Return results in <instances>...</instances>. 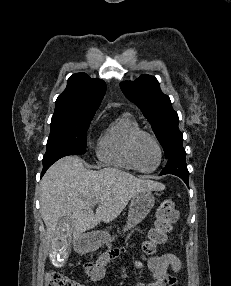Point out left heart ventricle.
Returning <instances> with one entry per match:
<instances>
[{
    "instance_id": "1",
    "label": "left heart ventricle",
    "mask_w": 231,
    "mask_h": 286,
    "mask_svg": "<svg viewBox=\"0 0 231 286\" xmlns=\"http://www.w3.org/2000/svg\"><path fill=\"white\" fill-rule=\"evenodd\" d=\"M135 155L139 166L144 170L153 169L159 161L156 145L146 136L138 139L135 146Z\"/></svg>"
}]
</instances>
